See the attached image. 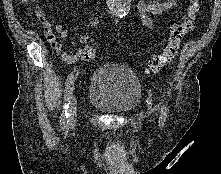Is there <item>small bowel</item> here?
<instances>
[{"instance_id":"1","label":"small bowel","mask_w":221,"mask_h":174,"mask_svg":"<svg viewBox=\"0 0 221 174\" xmlns=\"http://www.w3.org/2000/svg\"><path fill=\"white\" fill-rule=\"evenodd\" d=\"M177 5V0H138L137 10L140 14L142 24L147 29H153V16L160 15ZM36 16L42 26L44 35L53 49L61 53L62 60L67 64L76 63L81 57V49L77 50L74 54H69L63 51V46L60 41H58L54 32L59 34L60 38H66L68 36V29L66 26L57 23L52 24L49 22L47 15L41 9L36 10ZM102 19V14L100 12H95L89 21V27H94L100 23Z\"/></svg>"}]
</instances>
